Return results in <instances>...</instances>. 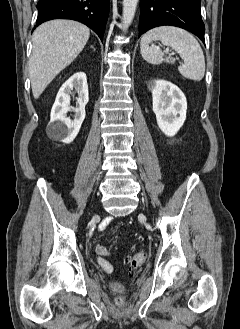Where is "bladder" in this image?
Listing matches in <instances>:
<instances>
[{
    "mask_svg": "<svg viewBox=\"0 0 240 329\" xmlns=\"http://www.w3.org/2000/svg\"><path fill=\"white\" fill-rule=\"evenodd\" d=\"M110 287H111L112 289H114V290H119V289H122V288H123V286H122L121 284L116 283V282L111 283V284H110Z\"/></svg>",
    "mask_w": 240,
    "mask_h": 329,
    "instance_id": "bladder-1",
    "label": "bladder"
}]
</instances>
